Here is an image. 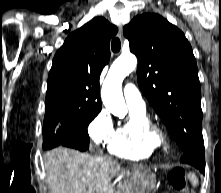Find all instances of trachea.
I'll return each instance as SVG.
<instances>
[{
    "label": "trachea",
    "instance_id": "trachea-1",
    "mask_svg": "<svg viewBox=\"0 0 221 193\" xmlns=\"http://www.w3.org/2000/svg\"><path fill=\"white\" fill-rule=\"evenodd\" d=\"M121 48V43L119 38H113L112 42H111V49L114 53H117L120 51Z\"/></svg>",
    "mask_w": 221,
    "mask_h": 193
}]
</instances>
